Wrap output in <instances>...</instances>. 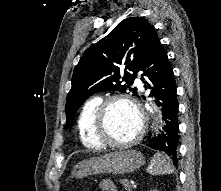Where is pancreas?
Instances as JSON below:
<instances>
[{"mask_svg":"<svg viewBox=\"0 0 221 191\" xmlns=\"http://www.w3.org/2000/svg\"><path fill=\"white\" fill-rule=\"evenodd\" d=\"M119 182L123 185V187L127 191H133V186L130 184V182L127 179H121Z\"/></svg>","mask_w":221,"mask_h":191,"instance_id":"obj_1","label":"pancreas"}]
</instances>
